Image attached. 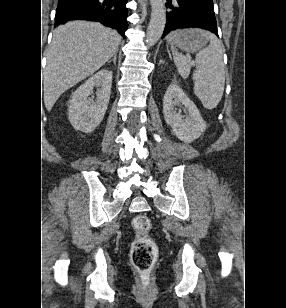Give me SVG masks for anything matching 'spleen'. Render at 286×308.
Segmentation results:
<instances>
[{"label":"spleen","mask_w":286,"mask_h":308,"mask_svg":"<svg viewBox=\"0 0 286 308\" xmlns=\"http://www.w3.org/2000/svg\"><path fill=\"white\" fill-rule=\"evenodd\" d=\"M180 31H176L179 33ZM210 44L195 57L196 70L193 73L194 93L206 109H214L222 99L225 85V71L221 42L210 32H206ZM174 63L182 78L189 76L191 61L179 53L171 44Z\"/></svg>","instance_id":"obj_1"}]
</instances>
